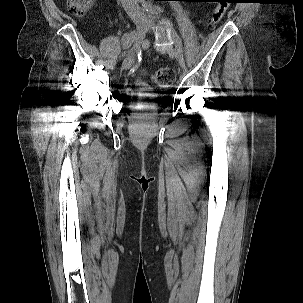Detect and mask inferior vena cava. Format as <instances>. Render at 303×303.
I'll list each match as a JSON object with an SVG mask.
<instances>
[{"mask_svg": "<svg viewBox=\"0 0 303 303\" xmlns=\"http://www.w3.org/2000/svg\"><path fill=\"white\" fill-rule=\"evenodd\" d=\"M120 1L122 3L124 10L127 12V14L130 16V18L133 21L144 19V16L142 15L138 5L139 0H120Z\"/></svg>", "mask_w": 303, "mask_h": 303, "instance_id": "602c4592", "label": "inferior vena cava"}]
</instances>
